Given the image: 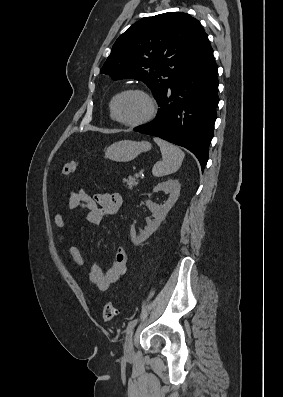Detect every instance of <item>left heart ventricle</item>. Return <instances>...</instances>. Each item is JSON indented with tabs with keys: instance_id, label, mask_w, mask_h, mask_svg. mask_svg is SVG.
Here are the masks:
<instances>
[{
	"instance_id": "obj_1",
	"label": "left heart ventricle",
	"mask_w": 283,
	"mask_h": 397,
	"mask_svg": "<svg viewBox=\"0 0 283 397\" xmlns=\"http://www.w3.org/2000/svg\"><path fill=\"white\" fill-rule=\"evenodd\" d=\"M146 99L137 93H128L121 96L116 103V114L124 121H136L148 112Z\"/></svg>"
}]
</instances>
